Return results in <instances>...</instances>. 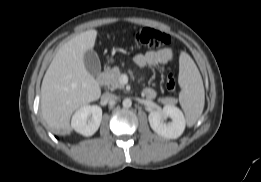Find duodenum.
Instances as JSON below:
<instances>
[{"mask_svg": "<svg viewBox=\"0 0 261 182\" xmlns=\"http://www.w3.org/2000/svg\"><path fill=\"white\" fill-rule=\"evenodd\" d=\"M97 82H98V84L102 85L104 82V77L102 75L98 76Z\"/></svg>", "mask_w": 261, "mask_h": 182, "instance_id": "obj_1", "label": "duodenum"}]
</instances>
